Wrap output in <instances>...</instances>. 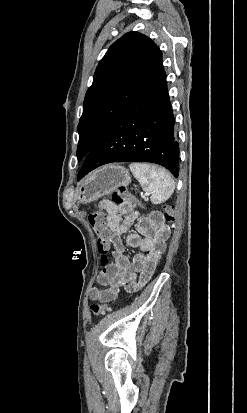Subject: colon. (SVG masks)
I'll return each instance as SVG.
<instances>
[{"label": "colon", "mask_w": 247, "mask_h": 413, "mask_svg": "<svg viewBox=\"0 0 247 413\" xmlns=\"http://www.w3.org/2000/svg\"><path fill=\"white\" fill-rule=\"evenodd\" d=\"M112 199L115 203H124L125 206H130L131 204L134 206L140 205V200L136 195L128 196L126 190L121 187L113 192ZM161 214L165 217V221L168 225H173L175 219V207L173 204L164 205ZM88 221L90 222V227L93 229V233L97 234V237L99 238L97 251L98 253H101V259L105 260L107 258V253L110 251V236L108 234L109 226L106 224L105 215L102 211L94 210L92 214L88 216ZM109 309L110 307L107 303H94L90 306V311L93 317H99Z\"/></svg>", "instance_id": "colon-1"}]
</instances>
